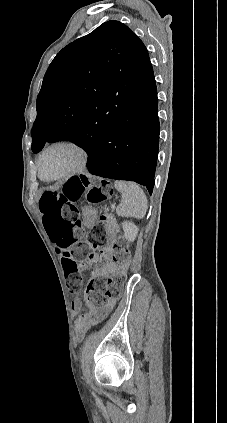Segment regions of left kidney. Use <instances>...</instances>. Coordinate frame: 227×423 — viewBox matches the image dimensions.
Wrapping results in <instances>:
<instances>
[{
	"mask_svg": "<svg viewBox=\"0 0 227 423\" xmlns=\"http://www.w3.org/2000/svg\"><path fill=\"white\" fill-rule=\"evenodd\" d=\"M122 227L124 229L123 237L128 239V241H134V239L137 237L138 225H135V223H132V221H123Z\"/></svg>",
	"mask_w": 227,
	"mask_h": 423,
	"instance_id": "5707ae66",
	"label": "left kidney"
}]
</instances>
